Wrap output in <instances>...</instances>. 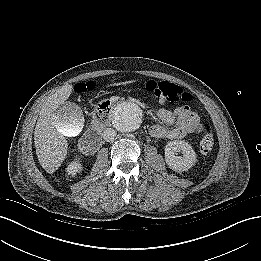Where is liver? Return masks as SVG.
<instances>
[{"instance_id": "6515ba94", "label": "liver", "mask_w": 261, "mask_h": 261, "mask_svg": "<svg viewBox=\"0 0 261 261\" xmlns=\"http://www.w3.org/2000/svg\"><path fill=\"white\" fill-rule=\"evenodd\" d=\"M73 91V86H62L49 95L43 102L34 131V145L38 161L47 173L55 172L67 155L68 143L65 135L78 134L83 126L84 117L79 106L75 105L74 126L70 134L63 131L62 123L56 110L66 102Z\"/></svg>"}]
</instances>
